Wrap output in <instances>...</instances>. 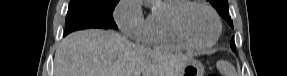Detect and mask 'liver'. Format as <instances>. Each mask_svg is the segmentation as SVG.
I'll use <instances>...</instances> for the list:
<instances>
[{
	"instance_id": "6515ba94",
	"label": "liver",
	"mask_w": 287,
	"mask_h": 76,
	"mask_svg": "<svg viewBox=\"0 0 287 76\" xmlns=\"http://www.w3.org/2000/svg\"><path fill=\"white\" fill-rule=\"evenodd\" d=\"M190 55L149 50L114 31L66 36L54 57V76H180Z\"/></svg>"
}]
</instances>
